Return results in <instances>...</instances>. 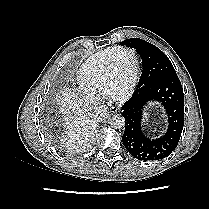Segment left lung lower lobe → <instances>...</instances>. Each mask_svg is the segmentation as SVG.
<instances>
[{"label": "left lung lower lobe", "mask_w": 209, "mask_h": 209, "mask_svg": "<svg viewBox=\"0 0 209 209\" xmlns=\"http://www.w3.org/2000/svg\"><path fill=\"white\" fill-rule=\"evenodd\" d=\"M158 101L168 116L167 131L160 138L151 139L142 130L145 106ZM125 131L122 142L127 151L142 161L161 160L177 147L184 125V94L177 75L159 79L154 85L140 87L122 106Z\"/></svg>", "instance_id": "left-lung-lower-lobe-1"}]
</instances>
